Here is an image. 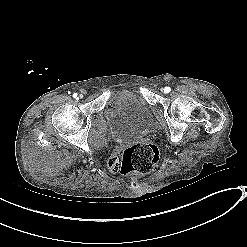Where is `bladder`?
<instances>
[{"label": "bladder", "mask_w": 247, "mask_h": 247, "mask_svg": "<svg viewBox=\"0 0 247 247\" xmlns=\"http://www.w3.org/2000/svg\"><path fill=\"white\" fill-rule=\"evenodd\" d=\"M104 114L114 129L113 140L117 143L141 142L156 129L153 108L141 94L116 93L104 108Z\"/></svg>", "instance_id": "bladder-1"}]
</instances>
